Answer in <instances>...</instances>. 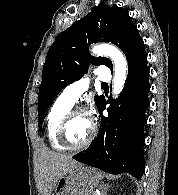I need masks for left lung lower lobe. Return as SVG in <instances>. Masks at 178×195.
<instances>
[{
  "label": "left lung lower lobe",
  "instance_id": "left-lung-lower-lobe-1",
  "mask_svg": "<svg viewBox=\"0 0 178 195\" xmlns=\"http://www.w3.org/2000/svg\"><path fill=\"white\" fill-rule=\"evenodd\" d=\"M128 64L122 93L116 100H108L111 103L107 108L108 116H102L107 103L104 97L98 107L101 125L97 137L87 150L76 154L73 159L111 174L127 172L140 179L145 171V110L150 104L146 52Z\"/></svg>",
  "mask_w": 178,
  "mask_h": 195
}]
</instances>
